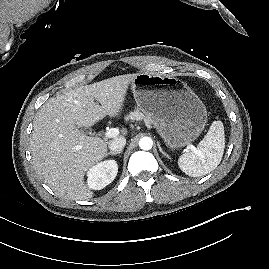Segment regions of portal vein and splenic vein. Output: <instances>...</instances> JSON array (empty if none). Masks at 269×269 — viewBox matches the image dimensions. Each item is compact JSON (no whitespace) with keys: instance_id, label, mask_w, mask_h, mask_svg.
<instances>
[{"instance_id":"portal-vein-and-splenic-vein-1","label":"portal vein and splenic vein","mask_w":269,"mask_h":269,"mask_svg":"<svg viewBox=\"0 0 269 269\" xmlns=\"http://www.w3.org/2000/svg\"><path fill=\"white\" fill-rule=\"evenodd\" d=\"M119 135V129L117 128H110L105 132L106 138H114ZM189 148L194 149L192 145L189 146Z\"/></svg>"}]
</instances>
